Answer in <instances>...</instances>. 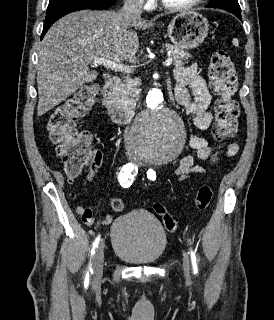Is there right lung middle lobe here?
Returning a JSON list of instances; mask_svg holds the SVG:
<instances>
[{"label": "right lung middle lobe", "mask_w": 274, "mask_h": 320, "mask_svg": "<svg viewBox=\"0 0 274 320\" xmlns=\"http://www.w3.org/2000/svg\"><path fill=\"white\" fill-rule=\"evenodd\" d=\"M72 1H78V0H50L49 5H48V9L54 8L56 6H60L62 4H65L67 2H72Z\"/></svg>", "instance_id": "1"}]
</instances>
